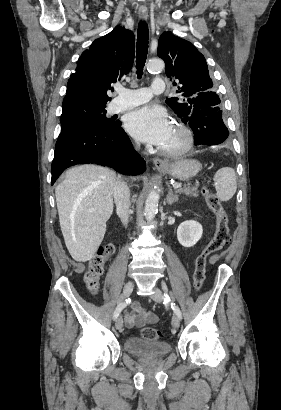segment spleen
<instances>
[{"label":"spleen","mask_w":281,"mask_h":410,"mask_svg":"<svg viewBox=\"0 0 281 410\" xmlns=\"http://www.w3.org/2000/svg\"><path fill=\"white\" fill-rule=\"evenodd\" d=\"M214 186L217 198L223 202L230 200L237 189L236 175L234 169L224 167L214 175Z\"/></svg>","instance_id":"3e777b00"}]
</instances>
